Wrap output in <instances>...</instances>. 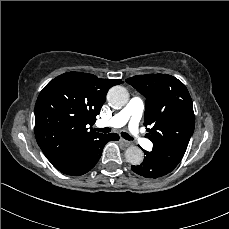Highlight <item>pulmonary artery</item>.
I'll use <instances>...</instances> for the list:
<instances>
[{
  "label": "pulmonary artery",
  "mask_w": 229,
  "mask_h": 229,
  "mask_svg": "<svg viewBox=\"0 0 229 229\" xmlns=\"http://www.w3.org/2000/svg\"><path fill=\"white\" fill-rule=\"evenodd\" d=\"M144 112V102L139 97H134L130 102L117 114L113 116L111 120H98L96 122L97 127H122L128 124V129L132 135L134 141L138 142L139 146L151 150L153 144L143 137L139 132V124Z\"/></svg>",
  "instance_id": "obj_1"
}]
</instances>
